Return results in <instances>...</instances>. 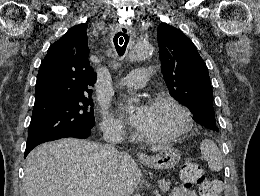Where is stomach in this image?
<instances>
[{
    "mask_svg": "<svg viewBox=\"0 0 260 196\" xmlns=\"http://www.w3.org/2000/svg\"><path fill=\"white\" fill-rule=\"evenodd\" d=\"M162 150H159L156 156H149V158H139L142 164L148 166V168H154V170H170L174 168L181 160V154L177 148L173 146H161Z\"/></svg>",
    "mask_w": 260,
    "mask_h": 196,
    "instance_id": "0dacf381",
    "label": "stomach"
}]
</instances>
